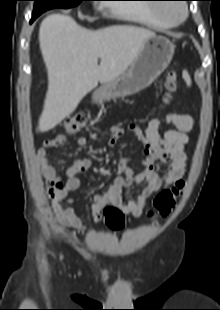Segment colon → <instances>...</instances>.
Instances as JSON below:
<instances>
[{
	"label": "colon",
	"mask_w": 220,
	"mask_h": 310,
	"mask_svg": "<svg viewBox=\"0 0 220 310\" xmlns=\"http://www.w3.org/2000/svg\"><path fill=\"white\" fill-rule=\"evenodd\" d=\"M179 76L175 70H169L165 74V88L168 94L174 92L178 86ZM86 124V117L82 113H75L66 117L62 123L67 134L75 135L80 132ZM63 187V183L56 179H49L47 184L48 194L54 196ZM184 189V182L177 181L172 187L163 189L153 201V207L148 211L149 219H161L170 215L176 205L178 198ZM107 225L113 230H120L124 226V213L116 206L109 205L104 211Z\"/></svg>",
	"instance_id": "colon-1"
}]
</instances>
